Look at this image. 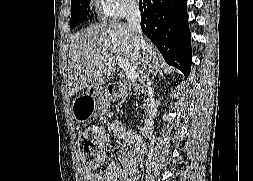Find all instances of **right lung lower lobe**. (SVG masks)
Masks as SVG:
<instances>
[{
  "label": "right lung lower lobe",
  "instance_id": "right-lung-lower-lobe-1",
  "mask_svg": "<svg viewBox=\"0 0 253 181\" xmlns=\"http://www.w3.org/2000/svg\"><path fill=\"white\" fill-rule=\"evenodd\" d=\"M187 0H143L141 29L165 61L187 77L191 68V39Z\"/></svg>",
  "mask_w": 253,
  "mask_h": 181
}]
</instances>
